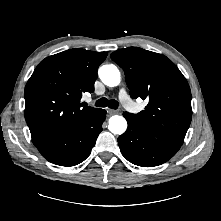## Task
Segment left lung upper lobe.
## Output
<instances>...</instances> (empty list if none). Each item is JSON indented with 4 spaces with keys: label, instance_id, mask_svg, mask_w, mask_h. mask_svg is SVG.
Wrapping results in <instances>:
<instances>
[{
    "label": "left lung upper lobe",
    "instance_id": "5c2ea615",
    "mask_svg": "<svg viewBox=\"0 0 221 221\" xmlns=\"http://www.w3.org/2000/svg\"><path fill=\"white\" fill-rule=\"evenodd\" d=\"M111 58L125 72L130 95L148 99L144 111L131 116L157 139L182 145L192 119L186 78L166 56L138 47L115 51Z\"/></svg>",
    "mask_w": 221,
    "mask_h": 221
}]
</instances>
